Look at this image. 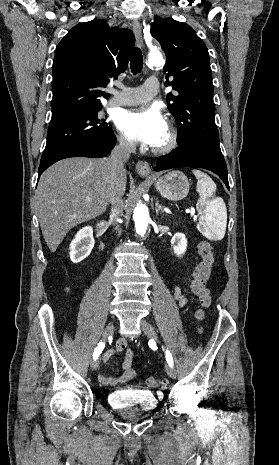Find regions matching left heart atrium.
<instances>
[{
	"label": "left heart atrium",
	"mask_w": 279,
	"mask_h": 465,
	"mask_svg": "<svg viewBox=\"0 0 279 465\" xmlns=\"http://www.w3.org/2000/svg\"><path fill=\"white\" fill-rule=\"evenodd\" d=\"M119 128L131 139L154 146L167 127L157 108L123 113L118 119Z\"/></svg>",
	"instance_id": "39dd6f15"
}]
</instances>
